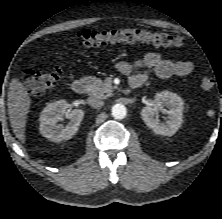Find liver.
Here are the masks:
<instances>
[{
  "label": "liver",
  "mask_w": 222,
  "mask_h": 219,
  "mask_svg": "<svg viewBox=\"0 0 222 219\" xmlns=\"http://www.w3.org/2000/svg\"><path fill=\"white\" fill-rule=\"evenodd\" d=\"M31 99L26 88L17 79L13 78L8 91V114L15 136L22 143L25 142V126Z\"/></svg>",
  "instance_id": "liver-1"
}]
</instances>
